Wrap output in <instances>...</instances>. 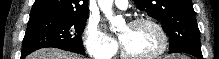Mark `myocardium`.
Segmentation results:
<instances>
[{
  "label": "myocardium",
  "mask_w": 219,
  "mask_h": 59,
  "mask_svg": "<svg viewBox=\"0 0 219 59\" xmlns=\"http://www.w3.org/2000/svg\"><path fill=\"white\" fill-rule=\"evenodd\" d=\"M142 24L150 25L151 27H153L156 30V32L158 33L160 40H161L160 46L158 47V49L156 51H154L148 55L137 56V55H133V54L129 53L125 49L123 44L120 43L119 48H120L121 56L123 58H125V59H156L166 52V50L168 48V44H169V39H168V35H167L166 31L164 30V28L157 21H155L151 18H146V17L134 19L133 21H131L129 23V26H138V25H142Z\"/></svg>",
  "instance_id": "f54148a6"
}]
</instances>
